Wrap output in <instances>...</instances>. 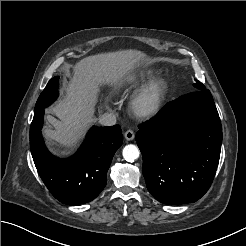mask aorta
<instances>
[{"label": "aorta", "mask_w": 246, "mask_h": 246, "mask_svg": "<svg viewBox=\"0 0 246 246\" xmlns=\"http://www.w3.org/2000/svg\"><path fill=\"white\" fill-rule=\"evenodd\" d=\"M123 158L128 162H134L136 159H138L140 151L137 146L133 144L126 145L123 148Z\"/></svg>", "instance_id": "aorta-1"}]
</instances>
